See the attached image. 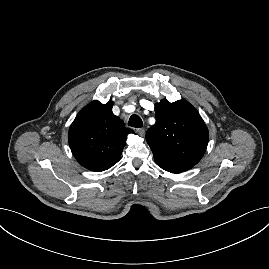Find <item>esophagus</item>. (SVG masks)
<instances>
[{
  "label": "esophagus",
  "mask_w": 269,
  "mask_h": 269,
  "mask_svg": "<svg viewBox=\"0 0 269 269\" xmlns=\"http://www.w3.org/2000/svg\"><path fill=\"white\" fill-rule=\"evenodd\" d=\"M136 133L140 136H144L145 130L143 128H138V129H136Z\"/></svg>",
  "instance_id": "34e87169"
}]
</instances>
